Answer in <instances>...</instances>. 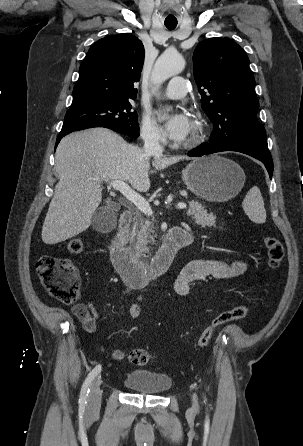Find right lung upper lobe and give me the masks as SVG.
I'll return each instance as SVG.
<instances>
[{"mask_svg":"<svg viewBox=\"0 0 303 446\" xmlns=\"http://www.w3.org/2000/svg\"><path fill=\"white\" fill-rule=\"evenodd\" d=\"M144 54L142 42L130 33L95 42L80 66L70 109L135 99Z\"/></svg>","mask_w":303,"mask_h":446,"instance_id":"1","label":"right lung upper lobe"}]
</instances>
